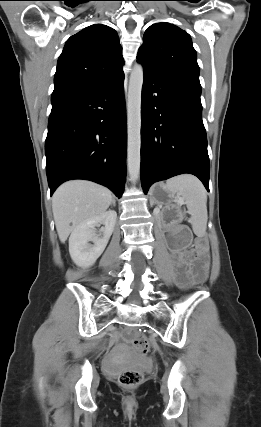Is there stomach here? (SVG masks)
I'll return each mask as SVG.
<instances>
[{
  "label": "stomach",
  "instance_id": "0dacf381",
  "mask_svg": "<svg viewBox=\"0 0 261 427\" xmlns=\"http://www.w3.org/2000/svg\"><path fill=\"white\" fill-rule=\"evenodd\" d=\"M174 194L163 183L156 184L150 192V200L152 203L159 205H168L172 202Z\"/></svg>",
  "mask_w": 261,
  "mask_h": 427
}]
</instances>
